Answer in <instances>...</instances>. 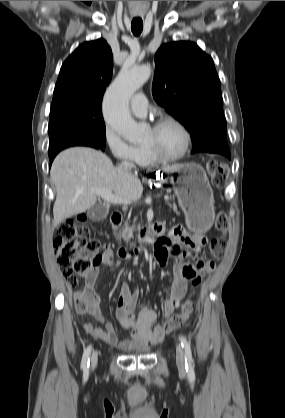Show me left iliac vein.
<instances>
[{
  "label": "left iliac vein",
  "instance_id": "left-iliac-vein-1",
  "mask_svg": "<svg viewBox=\"0 0 285 418\" xmlns=\"http://www.w3.org/2000/svg\"><path fill=\"white\" fill-rule=\"evenodd\" d=\"M176 365L180 371H185V355L179 345L176 346Z\"/></svg>",
  "mask_w": 285,
  "mask_h": 418
}]
</instances>
